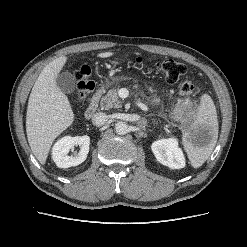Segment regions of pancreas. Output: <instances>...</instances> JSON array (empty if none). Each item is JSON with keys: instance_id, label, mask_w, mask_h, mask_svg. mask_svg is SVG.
<instances>
[{"instance_id": "1", "label": "pancreas", "mask_w": 247, "mask_h": 247, "mask_svg": "<svg viewBox=\"0 0 247 247\" xmlns=\"http://www.w3.org/2000/svg\"><path fill=\"white\" fill-rule=\"evenodd\" d=\"M120 90V86H116L113 89H110L100 101V107L104 110H109L113 108H120L122 106L121 101L118 97V92Z\"/></svg>"}]
</instances>
